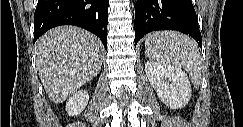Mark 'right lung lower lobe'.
Wrapping results in <instances>:
<instances>
[{
  "instance_id": "obj_1",
  "label": "right lung lower lobe",
  "mask_w": 243,
  "mask_h": 127,
  "mask_svg": "<svg viewBox=\"0 0 243 127\" xmlns=\"http://www.w3.org/2000/svg\"><path fill=\"white\" fill-rule=\"evenodd\" d=\"M109 0H38L34 42L49 29L76 25L97 35L107 49Z\"/></svg>"
}]
</instances>
